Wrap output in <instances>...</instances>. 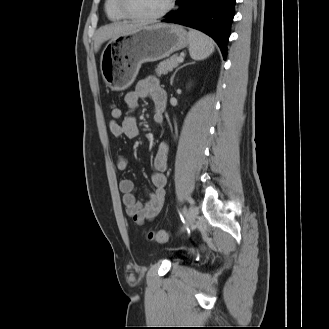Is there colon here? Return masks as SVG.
<instances>
[{
    "label": "colon",
    "mask_w": 329,
    "mask_h": 329,
    "mask_svg": "<svg viewBox=\"0 0 329 329\" xmlns=\"http://www.w3.org/2000/svg\"><path fill=\"white\" fill-rule=\"evenodd\" d=\"M121 109L119 106L113 104L111 106V116L114 120L118 121L121 117ZM146 238L151 241L164 243L167 242L170 238V232L165 229L161 230H151L146 233Z\"/></svg>",
    "instance_id": "obj_1"
}]
</instances>
